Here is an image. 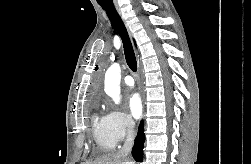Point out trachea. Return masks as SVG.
<instances>
[{
	"label": "trachea",
	"mask_w": 251,
	"mask_h": 164,
	"mask_svg": "<svg viewBox=\"0 0 251 164\" xmlns=\"http://www.w3.org/2000/svg\"><path fill=\"white\" fill-rule=\"evenodd\" d=\"M100 6L106 11L108 18L110 19L112 25L120 35L123 47H124V53H125V59L127 62V65L132 71L137 70V62L135 53L128 35V32L126 30V27L124 23L122 22L119 14L116 11V8L113 4V2H108L105 4H100Z\"/></svg>",
	"instance_id": "obj_1"
}]
</instances>
